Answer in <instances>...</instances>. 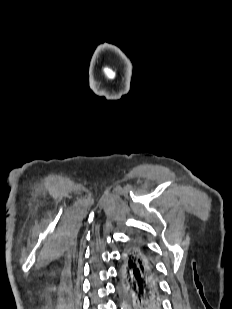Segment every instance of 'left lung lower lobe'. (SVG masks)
<instances>
[{"label":"left lung lower lobe","instance_id":"obj_1","mask_svg":"<svg viewBox=\"0 0 232 309\" xmlns=\"http://www.w3.org/2000/svg\"><path fill=\"white\" fill-rule=\"evenodd\" d=\"M121 289L128 291L133 309H161L162 297L155 262L146 248L132 241L122 253Z\"/></svg>","mask_w":232,"mask_h":309}]
</instances>
